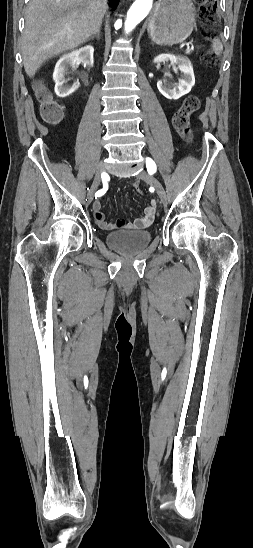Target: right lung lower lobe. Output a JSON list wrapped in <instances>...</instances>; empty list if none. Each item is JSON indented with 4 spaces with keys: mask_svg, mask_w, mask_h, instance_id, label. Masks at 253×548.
Returning <instances> with one entry per match:
<instances>
[{
    "mask_svg": "<svg viewBox=\"0 0 253 548\" xmlns=\"http://www.w3.org/2000/svg\"><path fill=\"white\" fill-rule=\"evenodd\" d=\"M111 4H116L118 0H109Z\"/></svg>",
    "mask_w": 253,
    "mask_h": 548,
    "instance_id": "right-lung-lower-lobe-1",
    "label": "right lung lower lobe"
}]
</instances>
